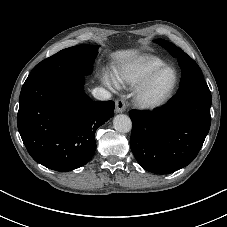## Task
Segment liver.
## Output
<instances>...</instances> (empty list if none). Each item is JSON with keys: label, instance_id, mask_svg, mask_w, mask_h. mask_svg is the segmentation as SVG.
<instances>
[{"label": "liver", "instance_id": "6515ba94", "mask_svg": "<svg viewBox=\"0 0 227 227\" xmlns=\"http://www.w3.org/2000/svg\"><path fill=\"white\" fill-rule=\"evenodd\" d=\"M138 50L137 49H127V50H118L112 53V58L116 59L121 63L126 62H135L137 59Z\"/></svg>", "mask_w": 227, "mask_h": 227}]
</instances>
